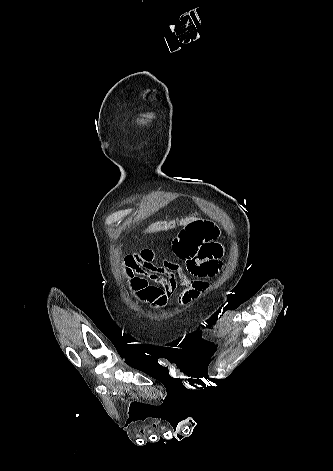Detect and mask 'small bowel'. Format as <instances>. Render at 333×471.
I'll use <instances>...</instances> for the list:
<instances>
[{
    "mask_svg": "<svg viewBox=\"0 0 333 471\" xmlns=\"http://www.w3.org/2000/svg\"><path fill=\"white\" fill-rule=\"evenodd\" d=\"M218 228L209 220L195 218L173 240L176 256L184 266L171 260L159 261L151 250L135 252L124 258L122 273L128 290L140 303L163 308L179 287L182 306L195 301L222 267L223 248L216 241Z\"/></svg>",
    "mask_w": 333,
    "mask_h": 471,
    "instance_id": "obj_1",
    "label": "small bowel"
}]
</instances>
